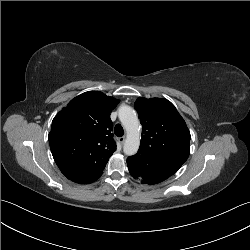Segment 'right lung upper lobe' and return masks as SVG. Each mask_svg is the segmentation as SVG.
I'll return each mask as SVG.
<instances>
[{
	"label": "right lung upper lobe",
	"instance_id": "1",
	"mask_svg": "<svg viewBox=\"0 0 250 250\" xmlns=\"http://www.w3.org/2000/svg\"><path fill=\"white\" fill-rule=\"evenodd\" d=\"M118 103L102 92L89 91L72 99L54 117L50 149L69 180L89 184L102 175L116 150L110 113Z\"/></svg>",
	"mask_w": 250,
	"mask_h": 250
}]
</instances>
